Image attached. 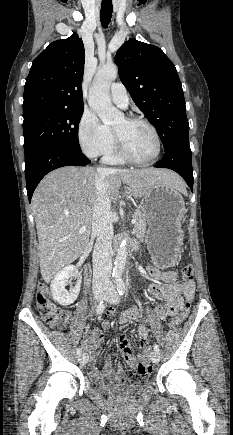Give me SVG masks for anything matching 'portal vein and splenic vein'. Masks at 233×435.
<instances>
[{"label": "portal vein and splenic vein", "mask_w": 233, "mask_h": 435, "mask_svg": "<svg viewBox=\"0 0 233 435\" xmlns=\"http://www.w3.org/2000/svg\"><path fill=\"white\" fill-rule=\"evenodd\" d=\"M136 221H137V220L133 218V219L131 220V223H132V224H135ZM85 230H86V228H85V227H82V228L79 230V233H83V232H85Z\"/></svg>", "instance_id": "18ae733b"}]
</instances>
